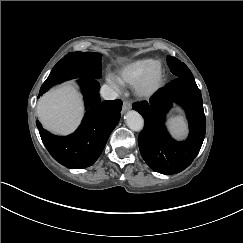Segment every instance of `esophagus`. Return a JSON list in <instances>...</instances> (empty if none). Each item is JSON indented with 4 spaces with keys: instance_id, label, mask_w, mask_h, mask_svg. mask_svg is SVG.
Listing matches in <instances>:
<instances>
[{
    "instance_id": "esophagus-1",
    "label": "esophagus",
    "mask_w": 243,
    "mask_h": 243,
    "mask_svg": "<svg viewBox=\"0 0 243 243\" xmlns=\"http://www.w3.org/2000/svg\"><path fill=\"white\" fill-rule=\"evenodd\" d=\"M131 104L128 101H123L122 112L125 113L126 111L131 109Z\"/></svg>"
}]
</instances>
